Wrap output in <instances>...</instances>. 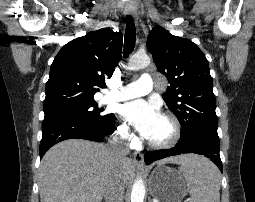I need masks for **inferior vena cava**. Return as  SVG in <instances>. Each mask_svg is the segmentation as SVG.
I'll return each mask as SVG.
<instances>
[{
  "mask_svg": "<svg viewBox=\"0 0 255 202\" xmlns=\"http://www.w3.org/2000/svg\"><path fill=\"white\" fill-rule=\"evenodd\" d=\"M126 133L114 135L109 142L108 147L115 158L119 161L127 159L129 153L128 144L125 142ZM105 202H123L124 198V184L119 175L111 178L105 188L104 192Z\"/></svg>",
  "mask_w": 255,
  "mask_h": 202,
  "instance_id": "inferior-vena-cava-1",
  "label": "inferior vena cava"
}]
</instances>
